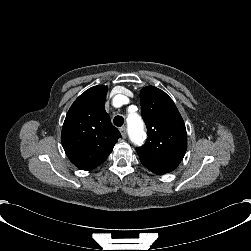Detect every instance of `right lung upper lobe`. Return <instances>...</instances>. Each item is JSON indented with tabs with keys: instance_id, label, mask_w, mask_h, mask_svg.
Here are the masks:
<instances>
[{
	"instance_id": "obj_1",
	"label": "right lung upper lobe",
	"mask_w": 251,
	"mask_h": 251,
	"mask_svg": "<svg viewBox=\"0 0 251 251\" xmlns=\"http://www.w3.org/2000/svg\"><path fill=\"white\" fill-rule=\"evenodd\" d=\"M107 87L98 85L81 94L70 107L61 140L70 161L81 170L102 164L121 137L105 111Z\"/></svg>"
}]
</instances>
